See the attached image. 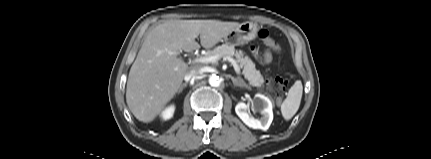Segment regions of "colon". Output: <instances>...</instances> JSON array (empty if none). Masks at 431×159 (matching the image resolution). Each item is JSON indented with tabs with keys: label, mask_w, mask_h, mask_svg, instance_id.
I'll return each instance as SVG.
<instances>
[{
	"label": "colon",
	"mask_w": 431,
	"mask_h": 159,
	"mask_svg": "<svg viewBox=\"0 0 431 159\" xmlns=\"http://www.w3.org/2000/svg\"><path fill=\"white\" fill-rule=\"evenodd\" d=\"M259 36L263 39V41H264V43H265L266 46H268L270 48H272V47L275 46V41L272 38L269 37V34H268L267 31H265V30L260 31L259 32ZM266 56L268 58L270 57L269 54H267ZM277 77H275L274 80L271 81V83H274L275 86H276V78ZM276 88H277V93L275 94V98L276 99H281L282 96H283L284 90H280L277 86H276Z\"/></svg>",
	"instance_id": "1"
}]
</instances>
